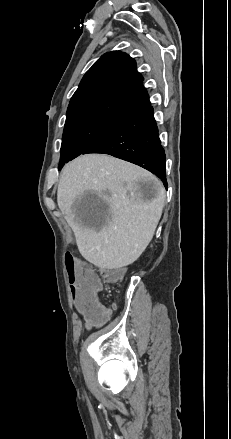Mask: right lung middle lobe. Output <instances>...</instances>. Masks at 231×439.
Here are the masks:
<instances>
[{
    "mask_svg": "<svg viewBox=\"0 0 231 439\" xmlns=\"http://www.w3.org/2000/svg\"><path fill=\"white\" fill-rule=\"evenodd\" d=\"M122 118L106 114H83L67 117L63 132L59 170L83 154L106 135Z\"/></svg>",
    "mask_w": 231,
    "mask_h": 439,
    "instance_id": "dd1d6c3e",
    "label": "right lung middle lobe"
}]
</instances>
